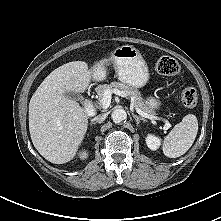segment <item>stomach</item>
Here are the masks:
<instances>
[{
	"label": "stomach",
	"mask_w": 221,
	"mask_h": 221,
	"mask_svg": "<svg viewBox=\"0 0 221 221\" xmlns=\"http://www.w3.org/2000/svg\"><path fill=\"white\" fill-rule=\"evenodd\" d=\"M111 60L117 72L118 78L125 84L140 88L146 85L149 80L148 66L140 51L132 45L117 47L111 53ZM106 61H100L93 66L92 77L96 81H103L107 75L105 67ZM146 105L151 111L158 109L160 101L154 97H149Z\"/></svg>",
	"instance_id": "0dacf381"
}]
</instances>
